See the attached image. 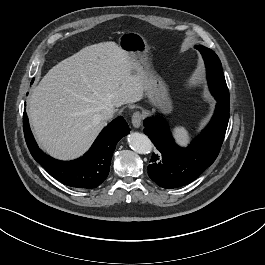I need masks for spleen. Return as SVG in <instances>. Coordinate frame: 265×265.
I'll return each mask as SVG.
<instances>
[{
  "instance_id": "spleen-1",
  "label": "spleen",
  "mask_w": 265,
  "mask_h": 265,
  "mask_svg": "<svg viewBox=\"0 0 265 265\" xmlns=\"http://www.w3.org/2000/svg\"><path fill=\"white\" fill-rule=\"evenodd\" d=\"M173 134H174L176 141L181 146H187L188 143L190 142V139H191L190 134L188 130L183 126H176L173 129Z\"/></svg>"
}]
</instances>
